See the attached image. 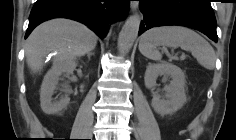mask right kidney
I'll use <instances>...</instances> for the list:
<instances>
[{
	"label": "right kidney",
	"mask_w": 236,
	"mask_h": 140,
	"mask_svg": "<svg viewBox=\"0 0 236 140\" xmlns=\"http://www.w3.org/2000/svg\"><path fill=\"white\" fill-rule=\"evenodd\" d=\"M76 66L77 63L74 60L56 62L47 72L43 79L40 92L41 108L44 113L49 115L56 114L68 105L70 101L68 95L62 96L58 101H53L52 95L58 85L60 76L62 74L67 76L72 74Z\"/></svg>",
	"instance_id": "ca27d5eb"
}]
</instances>
